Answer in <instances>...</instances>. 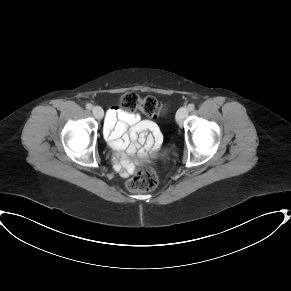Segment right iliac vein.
Instances as JSON below:
<instances>
[{"label": "right iliac vein", "instance_id": "right-iliac-vein-1", "mask_svg": "<svg viewBox=\"0 0 291 291\" xmlns=\"http://www.w3.org/2000/svg\"><path fill=\"white\" fill-rule=\"evenodd\" d=\"M92 112L96 119L100 120L103 118L104 112L100 106H94Z\"/></svg>", "mask_w": 291, "mask_h": 291}]
</instances>
